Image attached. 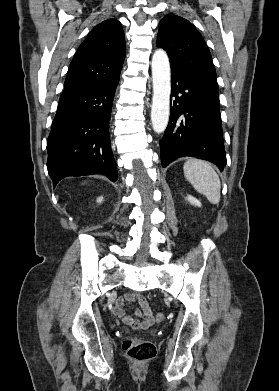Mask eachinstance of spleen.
<instances>
[{
	"label": "spleen",
	"instance_id": "1",
	"mask_svg": "<svg viewBox=\"0 0 279 391\" xmlns=\"http://www.w3.org/2000/svg\"><path fill=\"white\" fill-rule=\"evenodd\" d=\"M184 175L192 186L212 204L220 201L221 183L214 168L203 160L191 158L183 167Z\"/></svg>",
	"mask_w": 279,
	"mask_h": 391
}]
</instances>
